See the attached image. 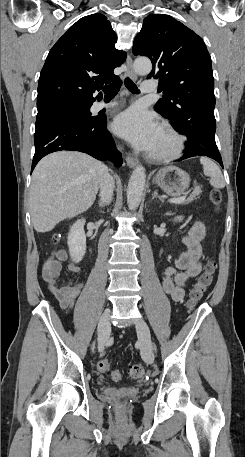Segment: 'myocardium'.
<instances>
[{
    "label": "myocardium",
    "mask_w": 245,
    "mask_h": 457,
    "mask_svg": "<svg viewBox=\"0 0 245 457\" xmlns=\"http://www.w3.org/2000/svg\"><path fill=\"white\" fill-rule=\"evenodd\" d=\"M161 133L170 138L172 142L168 147L151 150L148 154L149 158L155 161H168L179 157L184 149L182 136L170 126H164Z\"/></svg>",
    "instance_id": "obj_1"
}]
</instances>
